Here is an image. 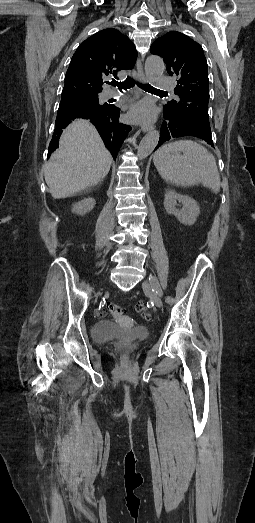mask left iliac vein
<instances>
[{"instance_id":"4c4485c4","label":"left iliac vein","mask_w":255,"mask_h":523,"mask_svg":"<svg viewBox=\"0 0 255 523\" xmlns=\"http://www.w3.org/2000/svg\"><path fill=\"white\" fill-rule=\"evenodd\" d=\"M152 285L157 286L158 288H161V286L158 282V279L155 276L150 275L149 282L144 281L142 284L143 290L145 291V293H147L150 296V299L153 301V303L158 308H161L163 306L162 300L158 294H156L155 292L152 291V289H151Z\"/></svg>"}]
</instances>
